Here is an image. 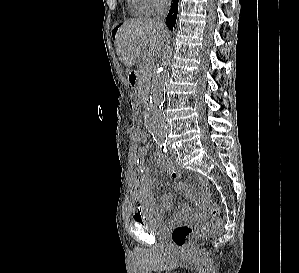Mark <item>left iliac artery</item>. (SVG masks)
Instances as JSON below:
<instances>
[{"mask_svg":"<svg viewBox=\"0 0 299 273\" xmlns=\"http://www.w3.org/2000/svg\"><path fill=\"white\" fill-rule=\"evenodd\" d=\"M163 151L167 152V148H166V145H165V147L163 148Z\"/></svg>","mask_w":299,"mask_h":273,"instance_id":"44dca946","label":"left iliac artery"}]
</instances>
